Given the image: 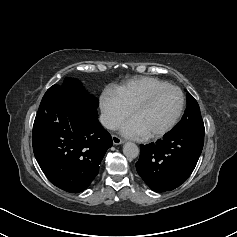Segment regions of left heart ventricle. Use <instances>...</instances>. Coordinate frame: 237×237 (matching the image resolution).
I'll return each instance as SVG.
<instances>
[{
    "instance_id": "b2bd125f",
    "label": "left heart ventricle",
    "mask_w": 237,
    "mask_h": 237,
    "mask_svg": "<svg viewBox=\"0 0 237 237\" xmlns=\"http://www.w3.org/2000/svg\"><path fill=\"white\" fill-rule=\"evenodd\" d=\"M180 105V95L175 90H166L152 101L138 109L132 120L140 127L144 135L164 128L175 116Z\"/></svg>"
}]
</instances>
